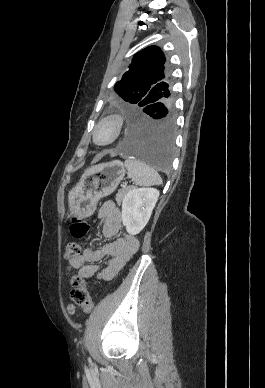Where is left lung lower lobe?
I'll use <instances>...</instances> for the list:
<instances>
[{"label": "left lung lower lobe", "instance_id": "left-lung-lower-lobe-1", "mask_svg": "<svg viewBox=\"0 0 265 388\" xmlns=\"http://www.w3.org/2000/svg\"><path fill=\"white\" fill-rule=\"evenodd\" d=\"M124 116L125 130L118 151L155 169H169L175 131L173 104L156 103L127 110Z\"/></svg>", "mask_w": 265, "mask_h": 388}]
</instances>
